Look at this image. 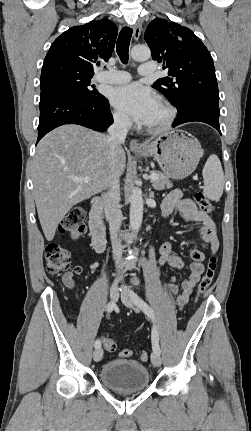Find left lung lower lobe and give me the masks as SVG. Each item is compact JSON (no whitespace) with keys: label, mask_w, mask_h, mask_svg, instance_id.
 <instances>
[{"label":"left lung lower lobe","mask_w":251,"mask_h":431,"mask_svg":"<svg viewBox=\"0 0 251 431\" xmlns=\"http://www.w3.org/2000/svg\"><path fill=\"white\" fill-rule=\"evenodd\" d=\"M220 110L218 100L200 99L193 101L187 107L178 112V117L173 123V127L192 121H199L213 126L221 134L219 126Z\"/></svg>","instance_id":"1"}]
</instances>
